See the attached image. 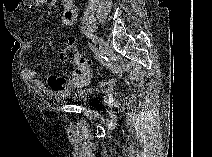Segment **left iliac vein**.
I'll list each match as a JSON object with an SVG mask.
<instances>
[{
  "label": "left iliac vein",
  "mask_w": 212,
  "mask_h": 157,
  "mask_svg": "<svg viewBox=\"0 0 212 157\" xmlns=\"http://www.w3.org/2000/svg\"><path fill=\"white\" fill-rule=\"evenodd\" d=\"M97 38L99 40V44L101 47V55L106 56L109 51V44L104 38H102V37H97Z\"/></svg>",
  "instance_id": "1"
}]
</instances>
